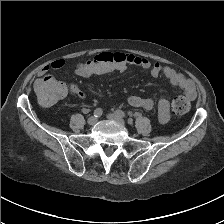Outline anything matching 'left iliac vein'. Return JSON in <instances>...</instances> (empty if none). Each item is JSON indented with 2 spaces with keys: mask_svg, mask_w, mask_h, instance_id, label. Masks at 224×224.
I'll return each mask as SVG.
<instances>
[{
  "mask_svg": "<svg viewBox=\"0 0 224 224\" xmlns=\"http://www.w3.org/2000/svg\"><path fill=\"white\" fill-rule=\"evenodd\" d=\"M107 118L110 119V120H113V121L117 122L120 125H123V126L125 125V121L122 119V117L118 116L115 113L108 114L107 115Z\"/></svg>",
  "mask_w": 224,
  "mask_h": 224,
  "instance_id": "obj_1",
  "label": "left iliac vein"
}]
</instances>
